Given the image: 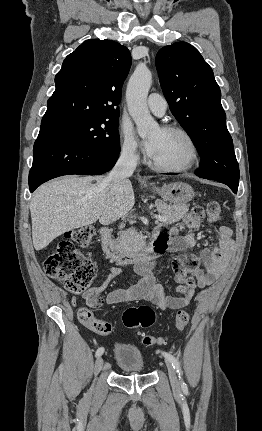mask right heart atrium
Masks as SVG:
<instances>
[{
    "label": "right heart atrium",
    "instance_id": "obj_1",
    "mask_svg": "<svg viewBox=\"0 0 262 431\" xmlns=\"http://www.w3.org/2000/svg\"><path fill=\"white\" fill-rule=\"evenodd\" d=\"M121 134V153L124 157L135 160L139 157V145L135 139L132 129L128 124H123Z\"/></svg>",
    "mask_w": 262,
    "mask_h": 431
}]
</instances>
